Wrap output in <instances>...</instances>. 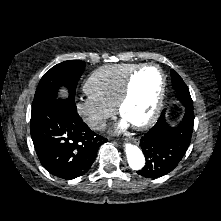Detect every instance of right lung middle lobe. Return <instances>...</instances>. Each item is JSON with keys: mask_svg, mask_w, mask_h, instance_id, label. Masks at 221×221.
Segmentation results:
<instances>
[{"mask_svg": "<svg viewBox=\"0 0 221 221\" xmlns=\"http://www.w3.org/2000/svg\"><path fill=\"white\" fill-rule=\"evenodd\" d=\"M85 62L69 60L59 63L47 71L41 78L32 104V112L57 96L58 89L65 86L69 98L75 99V90L79 78L85 70Z\"/></svg>", "mask_w": 221, "mask_h": 221, "instance_id": "right-lung-middle-lobe-1", "label": "right lung middle lobe"}]
</instances>
